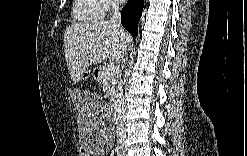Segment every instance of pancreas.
<instances>
[{"label": "pancreas", "mask_w": 247, "mask_h": 156, "mask_svg": "<svg viewBox=\"0 0 247 156\" xmlns=\"http://www.w3.org/2000/svg\"><path fill=\"white\" fill-rule=\"evenodd\" d=\"M97 81L102 85L108 97H112L114 95L116 92L117 79L115 75L106 74V67L100 68Z\"/></svg>", "instance_id": "1"}]
</instances>
